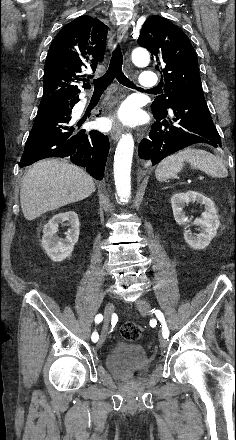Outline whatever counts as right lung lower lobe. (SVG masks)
Listing matches in <instances>:
<instances>
[{
	"mask_svg": "<svg viewBox=\"0 0 236 440\" xmlns=\"http://www.w3.org/2000/svg\"><path fill=\"white\" fill-rule=\"evenodd\" d=\"M78 98L41 103L25 143L20 167L49 157L68 158L101 180L109 152V139L96 130L80 129L72 116Z\"/></svg>",
	"mask_w": 236,
	"mask_h": 440,
	"instance_id": "obj_1",
	"label": "right lung lower lobe"
}]
</instances>
